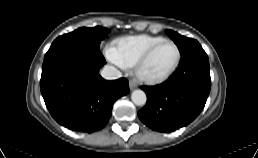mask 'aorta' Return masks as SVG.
<instances>
[{"instance_id":"aorta-1","label":"aorta","mask_w":258,"mask_h":158,"mask_svg":"<svg viewBox=\"0 0 258 158\" xmlns=\"http://www.w3.org/2000/svg\"><path fill=\"white\" fill-rule=\"evenodd\" d=\"M131 99H132L133 103L137 106H144L147 101L146 94L141 89L134 90L131 94Z\"/></svg>"}]
</instances>
